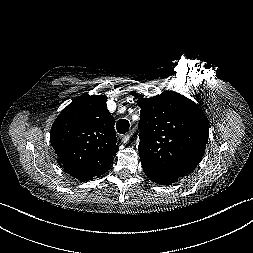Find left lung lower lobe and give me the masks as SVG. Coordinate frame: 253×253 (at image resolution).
<instances>
[{"label":"left lung lower lobe","instance_id":"left-lung-lower-lobe-1","mask_svg":"<svg viewBox=\"0 0 253 253\" xmlns=\"http://www.w3.org/2000/svg\"><path fill=\"white\" fill-rule=\"evenodd\" d=\"M142 164L143 170L145 172V174L147 175V177L153 181L156 182L159 185H168V184H172L178 181V179L180 178L177 175H173V174H167V173H161L158 171L153 170L152 168L148 167L147 165Z\"/></svg>","mask_w":253,"mask_h":253}]
</instances>
